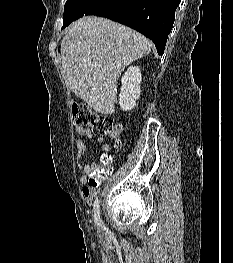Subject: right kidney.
<instances>
[{
  "mask_svg": "<svg viewBox=\"0 0 233 263\" xmlns=\"http://www.w3.org/2000/svg\"><path fill=\"white\" fill-rule=\"evenodd\" d=\"M142 75L138 66H130L123 75L119 94V105L123 111H130L136 106L140 97Z\"/></svg>",
  "mask_w": 233,
  "mask_h": 263,
  "instance_id": "right-kidney-1",
  "label": "right kidney"
}]
</instances>
